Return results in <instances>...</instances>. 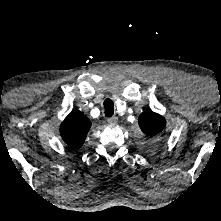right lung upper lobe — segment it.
Masks as SVG:
<instances>
[{
    "instance_id": "right-lung-upper-lobe-1",
    "label": "right lung upper lobe",
    "mask_w": 221,
    "mask_h": 221,
    "mask_svg": "<svg viewBox=\"0 0 221 221\" xmlns=\"http://www.w3.org/2000/svg\"><path fill=\"white\" fill-rule=\"evenodd\" d=\"M90 127V120L81 111L74 109L62 122L60 134L70 147L79 148L83 145Z\"/></svg>"
}]
</instances>
